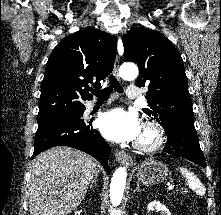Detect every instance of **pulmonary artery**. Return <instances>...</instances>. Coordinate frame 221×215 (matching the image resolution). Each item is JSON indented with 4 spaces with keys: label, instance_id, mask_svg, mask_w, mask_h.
Returning <instances> with one entry per match:
<instances>
[{
    "label": "pulmonary artery",
    "instance_id": "e3ab8cb5",
    "mask_svg": "<svg viewBox=\"0 0 221 215\" xmlns=\"http://www.w3.org/2000/svg\"><path fill=\"white\" fill-rule=\"evenodd\" d=\"M127 96L130 99H136L140 96V90L135 86H130L127 89Z\"/></svg>",
    "mask_w": 221,
    "mask_h": 215
}]
</instances>
